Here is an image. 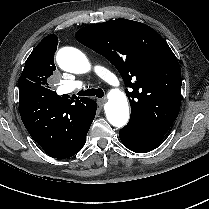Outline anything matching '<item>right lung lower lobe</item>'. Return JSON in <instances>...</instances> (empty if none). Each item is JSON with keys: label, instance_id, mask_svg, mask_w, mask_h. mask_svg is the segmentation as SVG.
<instances>
[{"label": "right lung lower lobe", "instance_id": "right-lung-lower-lobe-1", "mask_svg": "<svg viewBox=\"0 0 209 209\" xmlns=\"http://www.w3.org/2000/svg\"><path fill=\"white\" fill-rule=\"evenodd\" d=\"M67 111L56 95L46 97L34 89L19 90V112L24 126L42 149L54 158H69L84 146L87 132L75 136L70 128L55 124Z\"/></svg>", "mask_w": 209, "mask_h": 209}]
</instances>
